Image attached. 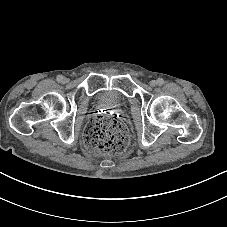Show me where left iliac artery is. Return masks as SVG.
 Instances as JSON below:
<instances>
[{
  "label": "left iliac artery",
  "mask_w": 227,
  "mask_h": 227,
  "mask_svg": "<svg viewBox=\"0 0 227 227\" xmlns=\"http://www.w3.org/2000/svg\"><path fill=\"white\" fill-rule=\"evenodd\" d=\"M157 84L158 85H163L164 84V80L162 78H158L157 79Z\"/></svg>",
  "instance_id": "obj_1"
}]
</instances>
